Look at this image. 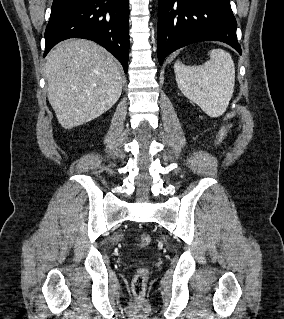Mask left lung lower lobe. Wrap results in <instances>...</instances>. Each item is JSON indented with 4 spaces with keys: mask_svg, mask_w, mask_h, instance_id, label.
I'll list each match as a JSON object with an SVG mask.
<instances>
[{
    "mask_svg": "<svg viewBox=\"0 0 284 319\" xmlns=\"http://www.w3.org/2000/svg\"><path fill=\"white\" fill-rule=\"evenodd\" d=\"M236 28L230 0H159V64L173 51L200 41H221L242 54Z\"/></svg>",
    "mask_w": 284,
    "mask_h": 319,
    "instance_id": "1",
    "label": "left lung lower lobe"
}]
</instances>
